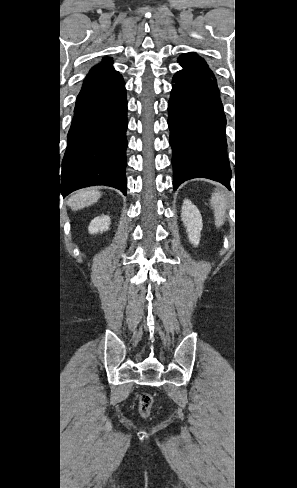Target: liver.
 Returning <instances> with one entry per match:
<instances>
[{"instance_id": "obj_1", "label": "liver", "mask_w": 297, "mask_h": 488, "mask_svg": "<svg viewBox=\"0 0 297 488\" xmlns=\"http://www.w3.org/2000/svg\"><path fill=\"white\" fill-rule=\"evenodd\" d=\"M101 197V192L89 189V190H81L75 194H73L68 200V206L74 210H80L85 208L86 206H90L98 201Z\"/></svg>"}]
</instances>
